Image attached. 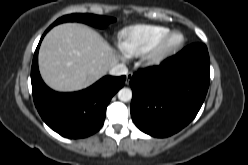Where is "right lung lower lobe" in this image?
<instances>
[{
	"mask_svg": "<svg viewBox=\"0 0 248 165\" xmlns=\"http://www.w3.org/2000/svg\"><path fill=\"white\" fill-rule=\"evenodd\" d=\"M43 34L34 53L31 83L35 106L44 122L67 138H84L103 125L106 108L113 95L123 87L125 76H105L89 88L74 93H58L48 88L38 70V51Z\"/></svg>",
	"mask_w": 248,
	"mask_h": 165,
	"instance_id": "right-lung-lower-lobe-1",
	"label": "right lung lower lobe"
}]
</instances>
